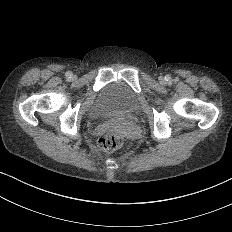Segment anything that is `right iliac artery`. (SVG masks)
<instances>
[{
	"label": "right iliac artery",
	"mask_w": 232,
	"mask_h": 232,
	"mask_svg": "<svg viewBox=\"0 0 232 232\" xmlns=\"http://www.w3.org/2000/svg\"><path fill=\"white\" fill-rule=\"evenodd\" d=\"M65 76H66L67 79L71 78L72 77V72L71 71L66 72Z\"/></svg>",
	"instance_id": "right-iliac-artery-1"
}]
</instances>
